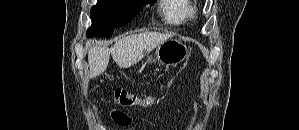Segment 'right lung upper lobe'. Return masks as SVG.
<instances>
[{
  "instance_id": "obj_1",
  "label": "right lung upper lobe",
  "mask_w": 299,
  "mask_h": 130,
  "mask_svg": "<svg viewBox=\"0 0 299 130\" xmlns=\"http://www.w3.org/2000/svg\"><path fill=\"white\" fill-rule=\"evenodd\" d=\"M146 1H156V0H146Z\"/></svg>"
}]
</instances>
